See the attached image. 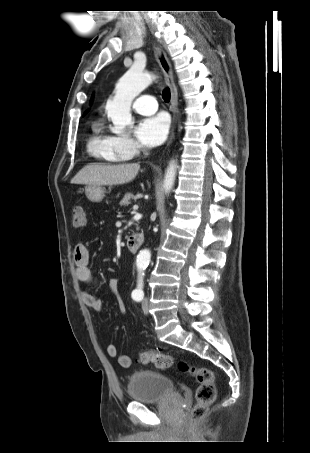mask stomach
Listing matches in <instances>:
<instances>
[{
  "label": "stomach",
  "mask_w": 310,
  "mask_h": 453,
  "mask_svg": "<svg viewBox=\"0 0 310 453\" xmlns=\"http://www.w3.org/2000/svg\"><path fill=\"white\" fill-rule=\"evenodd\" d=\"M86 197L92 202H99L104 196V190L101 186H88L85 189Z\"/></svg>",
  "instance_id": "0dacf381"
}]
</instances>
